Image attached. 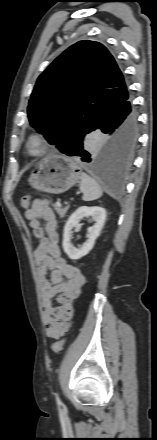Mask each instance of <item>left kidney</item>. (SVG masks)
Instances as JSON below:
<instances>
[{"mask_svg": "<svg viewBox=\"0 0 157 440\" xmlns=\"http://www.w3.org/2000/svg\"><path fill=\"white\" fill-rule=\"evenodd\" d=\"M85 217H92L95 224L88 229V239L80 248L74 247L71 243L72 229L76 227L80 220ZM106 219V211L102 207H79L68 219L64 227L62 246L64 252L72 260L80 259L87 255L93 248L95 240L100 235Z\"/></svg>", "mask_w": 157, "mask_h": 440, "instance_id": "5707ae66", "label": "left kidney"}]
</instances>
